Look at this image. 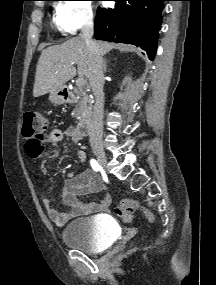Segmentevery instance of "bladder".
<instances>
[{"instance_id":"obj_1","label":"bladder","mask_w":216,"mask_h":285,"mask_svg":"<svg viewBox=\"0 0 216 285\" xmlns=\"http://www.w3.org/2000/svg\"><path fill=\"white\" fill-rule=\"evenodd\" d=\"M63 243L86 253L108 249L117 238V227L106 217H81L69 222L61 233Z\"/></svg>"}]
</instances>
